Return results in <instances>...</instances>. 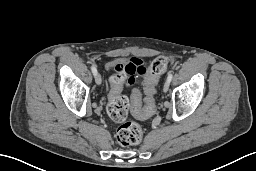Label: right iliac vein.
Listing matches in <instances>:
<instances>
[{
	"instance_id": "63e3f726",
	"label": "right iliac vein",
	"mask_w": 256,
	"mask_h": 171,
	"mask_svg": "<svg viewBox=\"0 0 256 171\" xmlns=\"http://www.w3.org/2000/svg\"><path fill=\"white\" fill-rule=\"evenodd\" d=\"M95 81H96V83H97L98 85L101 84L102 79H101L100 73H96V75H95Z\"/></svg>"
}]
</instances>
